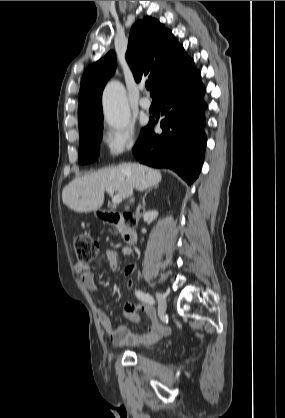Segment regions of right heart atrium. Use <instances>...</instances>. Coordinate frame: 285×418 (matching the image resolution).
<instances>
[{
    "mask_svg": "<svg viewBox=\"0 0 285 418\" xmlns=\"http://www.w3.org/2000/svg\"><path fill=\"white\" fill-rule=\"evenodd\" d=\"M102 142L110 158L118 157L134 147L135 130L131 126L124 129L107 128L103 133Z\"/></svg>",
    "mask_w": 285,
    "mask_h": 418,
    "instance_id": "1",
    "label": "right heart atrium"
}]
</instances>
